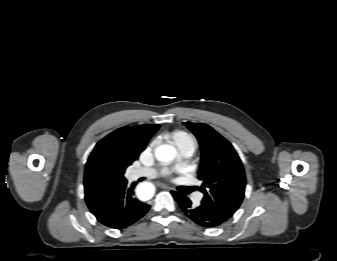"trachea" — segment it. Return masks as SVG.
<instances>
[{
    "label": "trachea",
    "mask_w": 337,
    "mask_h": 261,
    "mask_svg": "<svg viewBox=\"0 0 337 261\" xmlns=\"http://www.w3.org/2000/svg\"><path fill=\"white\" fill-rule=\"evenodd\" d=\"M193 190H194L193 188L190 189V191H193Z\"/></svg>",
    "instance_id": "trachea-1"
}]
</instances>
